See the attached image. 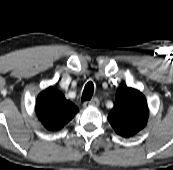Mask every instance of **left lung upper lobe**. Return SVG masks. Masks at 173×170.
<instances>
[{
    "mask_svg": "<svg viewBox=\"0 0 173 170\" xmlns=\"http://www.w3.org/2000/svg\"><path fill=\"white\" fill-rule=\"evenodd\" d=\"M148 115L144 95L136 89L122 85L117 90L116 101L108 115V121L117 134L131 137L145 127Z\"/></svg>",
    "mask_w": 173,
    "mask_h": 170,
    "instance_id": "left-lung-upper-lobe-1",
    "label": "left lung upper lobe"
}]
</instances>
